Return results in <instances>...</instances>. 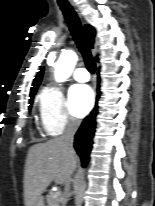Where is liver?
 I'll list each match as a JSON object with an SVG mask.
<instances>
[{"mask_svg":"<svg viewBox=\"0 0 155 206\" xmlns=\"http://www.w3.org/2000/svg\"><path fill=\"white\" fill-rule=\"evenodd\" d=\"M77 161L76 153H69L60 138L33 145L28 151L25 164V206H34L52 181L66 185Z\"/></svg>","mask_w":155,"mask_h":206,"instance_id":"1","label":"liver"}]
</instances>
